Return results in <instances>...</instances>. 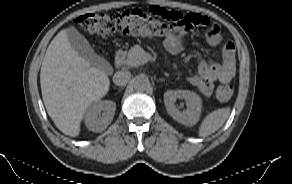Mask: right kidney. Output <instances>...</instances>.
Returning <instances> with one entry per match:
<instances>
[{"label": "right kidney", "mask_w": 292, "mask_h": 184, "mask_svg": "<svg viewBox=\"0 0 292 184\" xmlns=\"http://www.w3.org/2000/svg\"><path fill=\"white\" fill-rule=\"evenodd\" d=\"M116 110L115 102L111 100L96 101L88 107L84 121L86 127L93 132L105 130L111 123Z\"/></svg>", "instance_id": "right-kidney-1"}]
</instances>
